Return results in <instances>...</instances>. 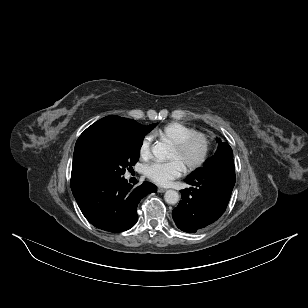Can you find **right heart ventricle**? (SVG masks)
I'll list each match as a JSON object with an SVG mask.
<instances>
[{
    "label": "right heart ventricle",
    "instance_id": "1",
    "mask_svg": "<svg viewBox=\"0 0 308 308\" xmlns=\"http://www.w3.org/2000/svg\"><path fill=\"white\" fill-rule=\"evenodd\" d=\"M195 132L196 130L193 127L180 122H170L157 129L154 136L167 140L174 145Z\"/></svg>",
    "mask_w": 308,
    "mask_h": 308
}]
</instances>
